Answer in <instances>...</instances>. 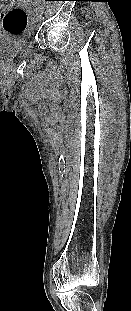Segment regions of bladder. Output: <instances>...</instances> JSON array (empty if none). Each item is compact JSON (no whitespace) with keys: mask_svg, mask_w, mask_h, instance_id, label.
I'll list each match as a JSON object with an SVG mask.
<instances>
[{"mask_svg":"<svg viewBox=\"0 0 131 311\" xmlns=\"http://www.w3.org/2000/svg\"><path fill=\"white\" fill-rule=\"evenodd\" d=\"M27 46L26 39L0 37V62L17 57L27 48Z\"/></svg>","mask_w":131,"mask_h":311,"instance_id":"bladder-1","label":"bladder"}]
</instances>
